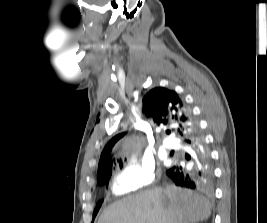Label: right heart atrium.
Instances as JSON below:
<instances>
[{
	"label": "right heart atrium",
	"instance_id": "1",
	"mask_svg": "<svg viewBox=\"0 0 267 223\" xmlns=\"http://www.w3.org/2000/svg\"><path fill=\"white\" fill-rule=\"evenodd\" d=\"M155 180L156 169L151 162H129L115 172L112 191L116 195L139 192Z\"/></svg>",
	"mask_w": 267,
	"mask_h": 223
}]
</instances>
